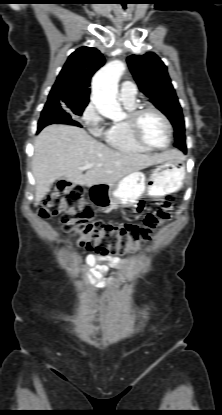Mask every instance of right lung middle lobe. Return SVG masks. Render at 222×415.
I'll use <instances>...</instances> for the list:
<instances>
[{
    "instance_id": "obj_1",
    "label": "right lung middle lobe",
    "mask_w": 222,
    "mask_h": 415,
    "mask_svg": "<svg viewBox=\"0 0 222 415\" xmlns=\"http://www.w3.org/2000/svg\"><path fill=\"white\" fill-rule=\"evenodd\" d=\"M87 104L88 103L79 102H53L46 103L44 108H48L50 110L66 109L70 114L81 116ZM69 113L67 114L69 115Z\"/></svg>"
}]
</instances>
